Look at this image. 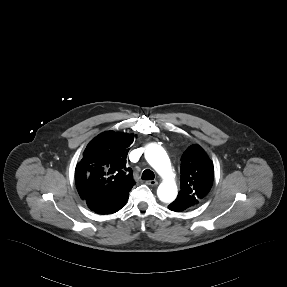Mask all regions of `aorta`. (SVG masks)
<instances>
[{"instance_id":"762f6f07","label":"aorta","mask_w":287,"mask_h":287,"mask_svg":"<svg viewBox=\"0 0 287 287\" xmlns=\"http://www.w3.org/2000/svg\"><path fill=\"white\" fill-rule=\"evenodd\" d=\"M145 158L150 166L162 177L163 181L157 189L158 198L165 203L174 201L177 197V185L173 179L170 159L166 151L155 143L147 146Z\"/></svg>"}]
</instances>
